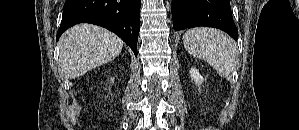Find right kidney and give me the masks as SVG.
<instances>
[{
	"label": "right kidney",
	"instance_id": "obj_1",
	"mask_svg": "<svg viewBox=\"0 0 299 130\" xmlns=\"http://www.w3.org/2000/svg\"><path fill=\"white\" fill-rule=\"evenodd\" d=\"M111 81L114 82V78H111Z\"/></svg>",
	"mask_w": 299,
	"mask_h": 130
}]
</instances>
